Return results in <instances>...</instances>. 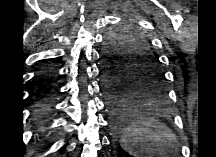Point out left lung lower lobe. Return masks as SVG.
Here are the masks:
<instances>
[{
    "instance_id": "obj_1",
    "label": "left lung lower lobe",
    "mask_w": 216,
    "mask_h": 157,
    "mask_svg": "<svg viewBox=\"0 0 216 157\" xmlns=\"http://www.w3.org/2000/svg\"><path fill=\"white\" fill-rule=\"evenodd\" d=\"M104 58V90L110 110L113 116V124L116 132L124 133L131 125L132 103L136 96L127 91L119 81L113 79L107 69Z\"/></svg>"
}]
</instances>
